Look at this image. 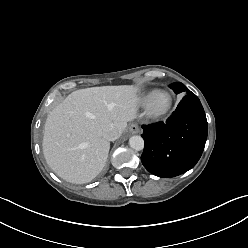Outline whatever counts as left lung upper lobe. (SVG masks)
<instances>
[{
  "instance_id": "1",
  "label": "left lung upper lobe",
  "mask_w": 248,
  "mask_h": 248,
  "mask_svg": "<svg viewBox=\"0 0 248 248\" xmlns=\"http://www.w3.org/2000/svg\"><path fill=\"white\" fill-rule=\"evenodd\" d=\"M176 94L179 93H190L191 91L182 83L176 82L169 86Z\"/></svg>"
}]
</instances>
